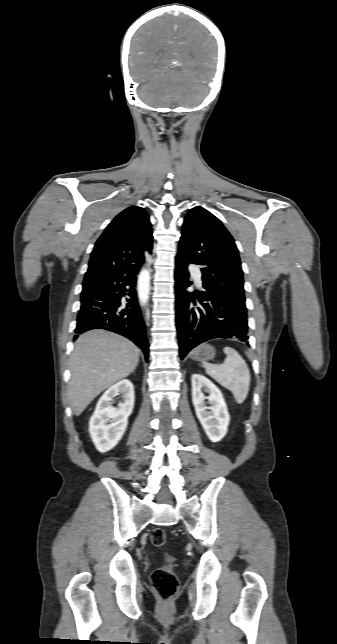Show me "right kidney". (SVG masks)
<instances>
[{"instance_id": "right-kidney-1", "label": "right kidney", "mask_w": 337, "mask_h": 644, "mask_svg": "<svg viewBox=\"0 0 337 644\" xmlns=\"http://www.w3.org/2000/svg\"><path fill=\"white\" fill-rule=\"evenodd\" d=\"M120 394L123 401L118 407H113V399ZM134 399L133 384L126 379L111 386L99 399L89 422V432L99 452L111 450L122 438L134 407Z\"/></svg>"}]
</instances>
